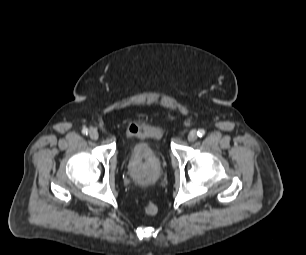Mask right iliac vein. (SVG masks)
<instances>
[{"instance_id":"obj_1","label":"right iliac vein","mask_w":306,"mask_h":255,"mask_svg":"<svg viewBox=\"0 0 306 255\" xmlns=\"http://www.w3.org/2000/svg\"><path fill=\"white\" fill-rule=\"evenodd\" d=\"M89 136L93 140H97L99 137V132L96 128H91L89 131Z\"/></svg>"}]
</instances>
